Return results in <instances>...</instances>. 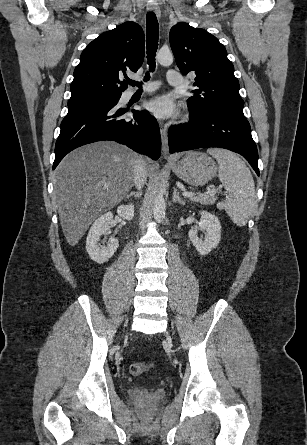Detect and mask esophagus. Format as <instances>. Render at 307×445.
<instances>
[{
  "label": "esophagus",
  "instance_id": "34e87169",
  "mask_svg": "<svg viewBox=\"0 0 307 445\" xmlns=\"http://www.w3.org/2000/svg\"><path fill=\"white\" fill-rule=\"evenodd\" d=\"M148 12H154L157 18H161V10L155 3H149L147 5ZM159 128L161 133V143H162V154L164 158L169 157V148H168V127L164 122H159Z\"/></svg>",
  "mask_w": 307,
  "mask_h": 445
}]
</instances>
